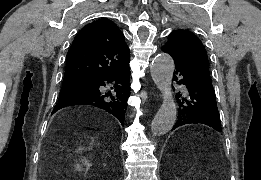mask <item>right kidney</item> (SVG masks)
Masks as SVG:
<instances>
[{
  "mask_svg": "<svg viewBox=\"0 0 261 180\" xmlns=\"http://www.w3.org/2000/svg\"><path fill=\"white\" fill-rule=\"evenodd\" d=\"M91 164H89V160H81V164H76L75 170L81 172V170H89Z\"/></svg>",
  "mask_w": 261,
  "mask_h": 180,
  "instance_id": "1",
  "label": "right kidney"
}]
</instances>
